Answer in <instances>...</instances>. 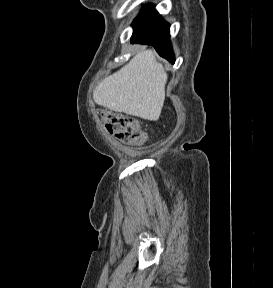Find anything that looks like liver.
Wrapping results in <instances>:
<instances>
[{"label":"liver","mask_w":273,"mask_h":288,"mask_svg":"<svg viewBox=\"0 0 273 288\" xmlns=\"http://www.w3.org/2000/svg\"><path fill=\"white\" fill-rule=\"evenodd\" d=\"M167 74L155 52L142 49L128 64L93 91L96 104L149 121H157L165 100Z\"/></svg>","instance_id":"1"}]
</instances>
